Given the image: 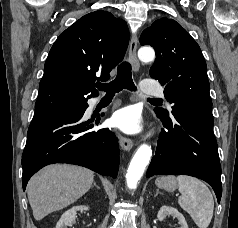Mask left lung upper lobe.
<instances>
[{
	"label": "left lung upper lobe",
	"mask_w": 238,
	"mask_h": 228,
	"mask_svg": "<svg viewBox=\"0 0 238 228\" xmlns=\"http://www.w3.org/2000/svg\"><path fill=\"white\" fill-rule=\"evenodd\" d=\"M140 43L155 49L150 76L166 85L165 98L172 104L171 112L155 108L156 114L161 118L184 114L213 121L207 65L190 34L175 20L162 18L143 31Z\"/></svg>",
	"instance_id": "5c2ea615"
}]
</instances>
